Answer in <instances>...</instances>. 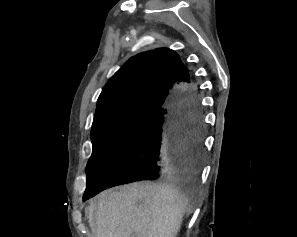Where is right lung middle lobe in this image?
Returning <instances> with one entry per match:
<instances>
[{
	"mask_svg": "<svg viewBox=\"0 0 297 237\" xmlns=\"http://www.w3.org/2000/svg\"><path fill=\"white\" fill-rule=\"evenodd\" d=\"M150 113H134L106 120L91 130L92 155L86 167L85 201L109 183L124 156L145 127Z\"/></svg>",
	"mask_w": 297,
	"mask_h": 237,
	"instance_id": "right-lung-middle-lobe-1",
	"label": "right lung middle lobe"
}]
</instances>
